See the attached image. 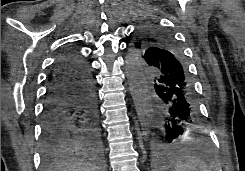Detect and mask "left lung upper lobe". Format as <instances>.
Segmentation results:
<instances>
[{
    "label": "left lung upper lobe",
    "mask_w": 245,
    "mask_h": 171,
    "mask_svg": "<svg viewBox=\"0 0 245 171\" xmlns=\"http://www.w3.org/2000/svg\"><path fill=\"white\" fill-rule=\"evenodd\" d=\"M132 47L139 61H148L154 51L179 48L172 36L153 25H142L132 39ZM180 52V51H179Z\"/></svg>",
    "instance_id": "1"
}]
</instances>
